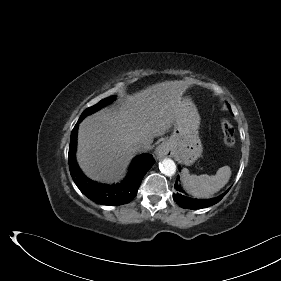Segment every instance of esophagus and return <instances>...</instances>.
<instances>
[{
    "label": "esophagus",
    "mask_w": 281,
    "mask_h": 281,
    "mask_svg": "<svg viewBox=\"0 0 281 281\" xmlns=\"http://www.w3.org/2000/svg\"><path fill=\"white\" fill-rule=\"evenodd\" d=\"M157 158L170 157L172 155V148L168 142H162L155 150Z\"/></svg>",
    "instance_id": "1"
}]
</instances>
